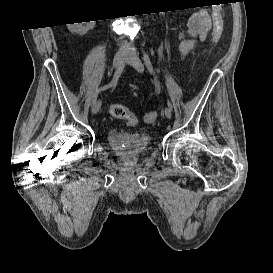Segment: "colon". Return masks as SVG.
I'll return each mask as SVG.
<instances>
[{"label":"colon","instance_id":"obj_1","mask_svg":"<svg viewBox=\"0 0 273 273\" xmlns=\"http://www.w3.org/2000/svg\"><path fill=\"white\" fill-rule=\"evenodd\" d=\"M222 31H223L222 24L218 20H215L212 33L214 43H217L220 40L222 36ZM109 112L114 118L125 121L129 126H134L137 124L136 116L122 104L118 103L111 104ZM155 117L156 113L150 112L146 117V121L152 122L155 119Z\"/></svg>","mask_w":273,"mask_h":273}]
</instances>
